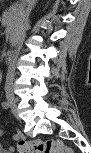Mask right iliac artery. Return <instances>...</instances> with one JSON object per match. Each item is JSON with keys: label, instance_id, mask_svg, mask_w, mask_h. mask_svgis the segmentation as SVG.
<instances>
[{"label": "right iliac artery", "instance_id": "1", "mask_svg": "<svg viewBox=\"0 0 91 153\" xmlns=\"http://www.w3.org/2000/svg\"><path fill=\"white\" fill-rule=\"evenodd\" d=\"M2 107H3L4 109H8V108H9L8 102H6V101L2 102Z\"/></svg>", "mask_w": 91, "mask_h": 153}]
</instances>
